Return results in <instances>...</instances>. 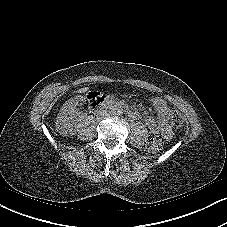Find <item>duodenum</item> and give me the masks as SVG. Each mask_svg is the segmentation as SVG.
Segmentation results:
<instances>
[{"label": "duodenum", "instance_id": "1", "mask_svg": "<svg viewBox=\"0 0 227 227\" xmlns=\"http://www.w3.org/2000/svg\"><path fill=\"white\" fill-rule=\"evenodd\" d=\"M105 102V98L98 92L91 93L87 98V103L93 111L101 109L105 105ZM126 113L132 119H137L139 116L136 111L132 110H129Z\"/></svg>", "mask_w": 227, "mask_h": 227}]
</instances>
